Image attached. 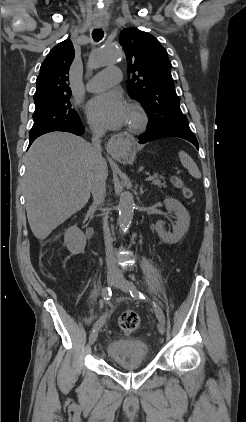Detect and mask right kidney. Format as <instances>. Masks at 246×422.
<instances>
[{"mask_svg": "<svg viewBox=\"0 0 246 422\" xmlns=\"http://www.w3.org/2000/svg\"><path fill=\"white\" fill-rule=\"evenodd\" d=\"M64 241L68 250L74 255L82 253L86 246V237L76 225L67 229Z\"/></svg>", "mask_w": 246, "mask_h": 422, "instance_id": "ca27d5eb", "label": "right kidney"}]
</instances>
